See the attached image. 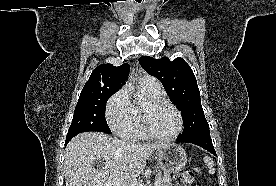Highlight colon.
I'll return each instance as SVG.
<instances>
[{"instance_id": "1", "label": "colon", "mask_w": 276, "mask_h": 186, "mask_svg": "<svg viewBox=\"0 0 276 186\" xmlns=\"http://www.w3.org/2000/svg\"><path fill=\"white\" fill-rule=\"evenodd\" d=\"M194 183L195 175L190 170L177 174L173 180V186H193Z\"/></svg>"}]
</instances>
